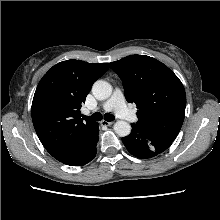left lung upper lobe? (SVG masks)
Instances as JSON below:
<instances>
[{
	"instance_id": "1",
	"label": "left lung upper lobe",
	"mask_w": 220,
	"mask_h": 220,
	"mask_svg": "<svg viewBox=\"0 0 220 220\" xmlns=\"http://www.w3.org/2000/svg\"><path fill=\"white\" fill-rule=\"evenodd\" d=\"M123 81L125 98L138 109L137 125L154 129L157 137L174 141L185 117L186 94L166 65L145 55L110 63Z\"/></svg>"
}]
</instances>
